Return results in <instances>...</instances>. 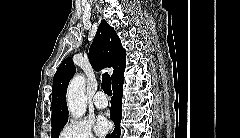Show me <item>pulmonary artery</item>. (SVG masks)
Segmentation results:
<instances>
[{
    "label": "pulmonary artery",
    "mask_w": 240,
    "mask_h": 138,
    "mask_svg": "<svg viewBox=\"0 0 240 138\" xmlns=\"http://www.w3.org/2000/svg\"><path fill=\"white\" fill-rule=\"evenodd\" d=\"M93 102L94 105L98 108V109H104L107 107L108 105V101L106 99V96L104 94V92L102 91H98L94 97H93Z\"/></svg>",
    "instance_id": "obj_1"
}]
</instances>
